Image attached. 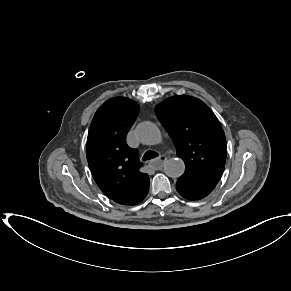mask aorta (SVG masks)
<instances>
[{"label":"aorta","mask_w":291,"mask_h":291,"mask_svg":"<svg viewBox=\"0 0 291 291\" xmlns=\"http://www.w3.org/2000/svg\"><path fill=\"white\" fill-rule=\"evenodd\" d=\"M136 135L139 141L145 145H156L162 141L159 128L149 121L142 122L137 126ZM164 170L170 177H180L185 171L184 161L178 158L170 159L165 164Z\"/></svg>","instance_id":"1"}]
</instances>
